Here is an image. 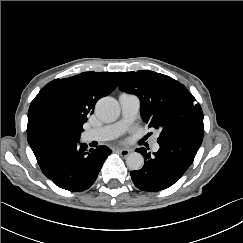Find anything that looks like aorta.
Returning a JSON list of instances; mask_svg holds the SVG:
<instances>
[{
  "instance_id": "obj_1",
  "label": "aorta",
  "mask_w": 243,
  "mask_h": 243,
  "mask_svg": "<svg viewBox=\"0 0 243 243\" xmlns=\"http://www.w3.org/2000/svg\"><path fill=\"white\" fill-rule=\"evenodd\" d=\"M97 117L105 122L115 121L120 114L118 102L111 97H104L98 100L95 106ZM126 164L130 170H140L144 165V158L138 152H132L126 157Z\"/></svg>"
}]
</instances>
